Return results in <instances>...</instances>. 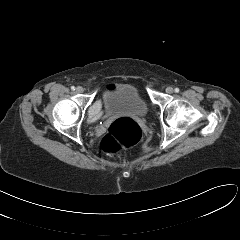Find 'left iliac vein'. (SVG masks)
<instances>
[{"label": "left iliac vein", "instance_id": "obj_1", "mask_svg": "<svg viewBox=\"0 0 240 240\" xmlns=\"http://www.w3.org/2000/svg\"><path fill=\"white\" fill-rule=\"evenodd\" d=\"M174 92L173 88L172 87H167L166 88V93L167 94H172Z\"/></svg>", "mask_w": 240, "mask_h": 240}]
</instances>
